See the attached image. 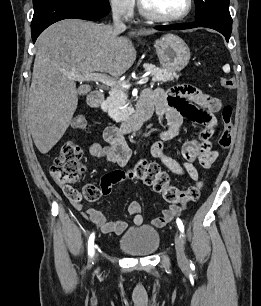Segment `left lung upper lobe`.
Returning a JSON list of instances; mask_svg holds the SVG:
<instances>
[{"mask_svg":"<svg viewBox=\"0 0 261 306\" xmlns=\"http://www.w3.org/2000/svg\"><path fill=\"white\" fill-rule=\"evenodd\" d=\"M230 0H195L196 20L201 22H214L231 24L229 12Z\"/></svg>","mask_w":261,"mask_h":306,"instance_id":"left-lung-upper-lobe-1","label":"left lung upper lobe"}]
</instances>
